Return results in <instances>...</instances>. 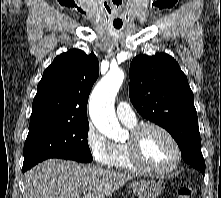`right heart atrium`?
I'll list each match as a JSON object with an SVG mask.
<instances>
[{
  "mask_svg": "<svg viewBox=\"0 0 221 198\" xmlns=\"http://www.w3.org/2000/svg\"><path fill=\"white\" fill-rule=\"evenodd\" d=\"M85 143L96 163L101 166L111 165L114 144L100 133L92 123H89L87 126Z\"/></svg>",
  "mask_w": 221,
  "mask_h": 198,
  "instance_id": "right-heart-atrium-1",
  "label": "right heart atrium"
}]
</instances>
